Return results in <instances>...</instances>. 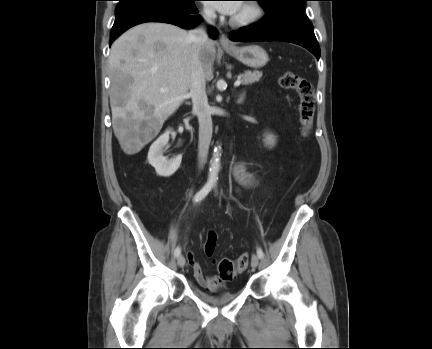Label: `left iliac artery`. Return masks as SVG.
<instances>
[{
    "mask_svg": "<svg viewBox=\"0 0 432 349\" xmlns=\"http://www.w3.org/2000/svg\"><path fill=\"white\" fill-rule=\"evenodd\" d=\"M257 255L259 258H263L264 257V253L262 251V249L260 247L257 248Z\"/></svg>",
    "mask_w": 432,
    "mask_h": 349,
    "instance_id": "1",
    "label": "left iliac artery"
}]
</instances>
